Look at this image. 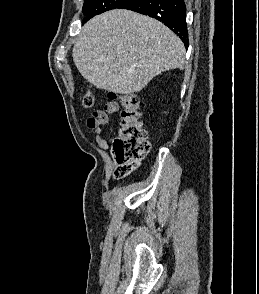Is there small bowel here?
<instances>
[{
    "mask_svg": "<svg viewBox=\"0 0 259 294\" xmlns=\"http://www.w3.org/2000/svg\"><path fill=\"white\" fill-rule=\"evenodd\" d=\"M120 110V106L116 101H109L102 110H97L87 120V127L94 131V139L97 145L106 149L108 142L103 135L102 126L109 121V115L116 114Z\"/></svg>",
    "mask_w": 259,
    "mask_h": 294,
    "instance_id": "1",
    "label": "small bowel"
}]
</instances>
